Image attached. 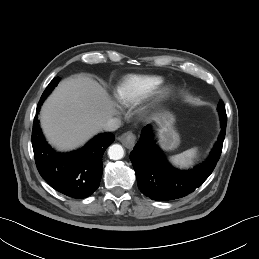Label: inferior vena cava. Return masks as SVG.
<instances>
[{
	"instance_id": "602c4592",
	"label": "inferior vena cava",
	"mask_w": 259,
	"mask_h": 259,
	"mask_svg": "<svg viewBox=\"0 0 259 259\" xmlns=\"http://www.w3.org/2000/svg\"><path fill=\"white\" fill-rule=\"evenodd\" d=\"M121 125V121L118 118H110L107 122L103 125V129L106 131H115Z\"/></svg>"
}]
</instances>
